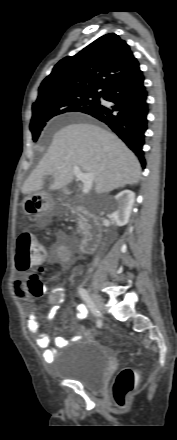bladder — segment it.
Instances as JSON below:
<instances>
[{"label": "bladder", "mask_w": 177, "mask_h": 440, "mask_svg": "<svg viewBox=\"0 0 177 440\" xmlns=\"http://www.w3.org/2000/svg\"><path fill=\"white\" fill-rule=\"evenodd\" d=\"M60 360L56 375L74 380L88 390L102 387L109 369L107 352L93 339L78 340Z\"/></svg>", "instance_id": "1"}]
</instances>
